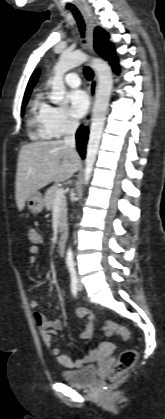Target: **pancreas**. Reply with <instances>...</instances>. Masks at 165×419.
<instances>
[{
    "instance_id": "1",
    "label": "pancreas",
    "mask_w": 165,
    "mask_h": 419,
    "mask_svg": "<svg viewBox=\"0 0 165 419\" xmlns=\"http://www.w3.org/2000/svg\"><path fill=\"white\" fill-rule=\"evenodd\" d=\"M58 186H51L47 189L44 197V204L47 210H53L56 203V191ZM67 222V212H66V197L63 196L59 201V230H64Z\"/></svg>"
}]
</instances>
